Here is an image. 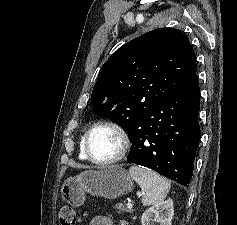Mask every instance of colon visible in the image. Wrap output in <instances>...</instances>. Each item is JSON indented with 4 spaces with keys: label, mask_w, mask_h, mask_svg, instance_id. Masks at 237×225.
Returning a JSON list of instances; mask_svg holds the SVG:
<instances>
[{
    "label": "colon",
    "mask_w": 237,
    "mask_h": 225,
    "mask_svg": "<svg viewBox=\"0 0 237 225\" xmlns=\"http://www.w3.org/2000/svg\"><path fill=\"white\" fill-rule=\"evenodd\" d=\"M77 215L75 210L70 206H63L59 211L60 225H75Z\"/></svg>",
    "instance_id": "5ec220e1"
}]
</instances>
